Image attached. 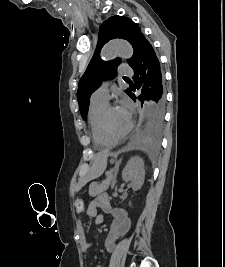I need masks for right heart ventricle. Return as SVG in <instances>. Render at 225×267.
<instances>
[{"instance_id": "right-heart-ventricle-1", "label": "right heart ventricle", "mask_w": 225, "mask_h": 267, "mask_svg": "<svg viewBox=\"0 0 225 267\" xmlns=\"http://www.w3.org/2000/svg\"><path fill=\"white\" fill-rule=\"evenodd\" d=\"M107 102L92 100L88 110V125L91 138L98 147H110L115 144L111 139L107 138L100 127V117Z\"/></svg>"}]
</instances>
